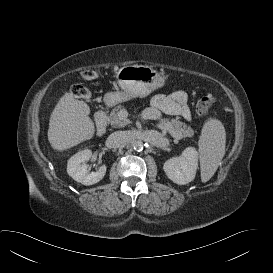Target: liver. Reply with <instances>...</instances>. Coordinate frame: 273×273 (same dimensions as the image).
<instances>
[{"instance_id":"6515ba94","label":"liver","mask_w":273,"mask_h":273,"mask_svg":"<svg viewBox=\"0 0 273 273\" xmlns=\"http://www.w3.org/2000/svg\"><path fill=\"white\" fill-rule=\"evenodd\" d=\"M90 108L66 93L57 103L49 121L48 141L53 149L64 151L93 137Z\"/></svg>"}]
</instances>
